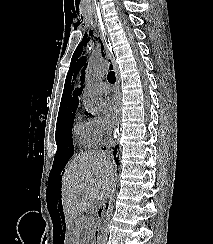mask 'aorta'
Instances as JSON below:
<instances>
[{"instance_id": "762f6f07", "label": "aorta", "mask_w": 213, "mask_h": 244, "mask_svg": "<svg viewBox=\"0 0 213 244\" xmlns=\"http://www.w3.org/2000/svg\"><path fill=\"white\" fill-rule=\"evenodd\" d=\"M108 68V63L105 60L94 59L86 69L83 103L93 115L100 113L102 110L103 99L97 84L104 78Z\"/></svg>"}]
</instances>
